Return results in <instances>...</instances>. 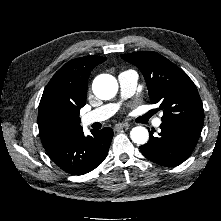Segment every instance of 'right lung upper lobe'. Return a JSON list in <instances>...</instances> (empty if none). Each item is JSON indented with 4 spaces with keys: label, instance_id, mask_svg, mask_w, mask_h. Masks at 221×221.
Listing matches in <instances>:
<instances>
[{
    "label": "right lung upper lobe",
    "instance_id": "1",
    "mask_svg": "<svg viewBox=\"0 0 221 221\" xmlns=\"http://www.w3.org/2000/svg\"><path fill=\"white\" fill-rule=\"evenodd\" d=\"M105 57L85 56L62 66L44 89L39 104V135L46 151L82 130L80 109L86 104L90 72Z\"/></svg>",
    "mask_w": 221,
    "mask_h": 221
}]
</instances>
